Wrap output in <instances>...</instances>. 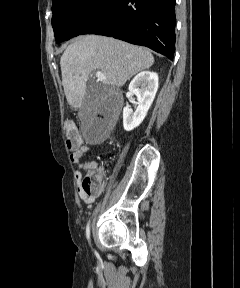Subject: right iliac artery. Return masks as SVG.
Masks as SVG:
<instances>
[{
  "mask_svg": "<svg viewBox=\"0 0 240 288\" xmlns=\"http://www.w3.org/2000/svg\"><path fill=\"white\" fill-rule=\"evenodd\" d=\"M86 237L88 241H90V224L88 222L87 227H86Z\"/></svg>",
  "mask_w": 240,
  "mask_h": 288,
  "instance_id": "82829eb1",
  "label": "right iliac artery"
}]
</instances>
